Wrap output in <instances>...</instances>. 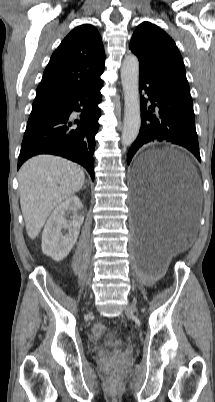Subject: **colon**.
<instances>
[{"instance_id": "obj_1", "label": "colon", "mask_w": 215, "mask_h": 402, "mask_svg": "<svg viewBox=\"0 0 215 402\" xmlns=\"http://www.w3.org/2000/svg\"><path fill=\"white\" fill-rule=\"evenodd\" d=\"M93 334L95 336H102L106 333V328L101 323H96L92 328Z\"/></svg>"}]
</instances>
